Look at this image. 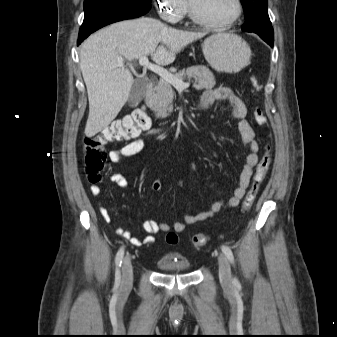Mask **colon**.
<instances>
[{
    "label": "colon",
    "mask_w": 337,
    "mask_h": 337,
    "mask_svg": "<svg viewBox=\"0 0 337 337\" xmlns=\"http://www.w3.org/2000/svg\"><path fill=\"white\" fill-rule=\"evenodd\" d=\"M251 85L256 93H259L262 89V83L256 77L251 78ZM253 118L255 123L259 126L267 124L264 112L259 107L254 108ZM149 123V119L146 115L138 116L137 119L135 116H127L113 121L98 134L86 137L83 144V151L85 154V173L88 181L91 184H98L101 181V172L107 159L105 150L107 144L121 142L135 137L143 127L149 126ZM270 161V146L264 144L260 159L256 165L255 174L253 175L250 187L241 206V211L243 213L248 211L252 206L270 167ZM208 240L209 238L206 234L199 233L193 237L192 245L195 248H199L204 246ZM166 241L169 244H176L178 242L177 234L173 231L168 232Z\"/></svg>",
    "instance_id": "5ec220e1"
}]
</instances>
